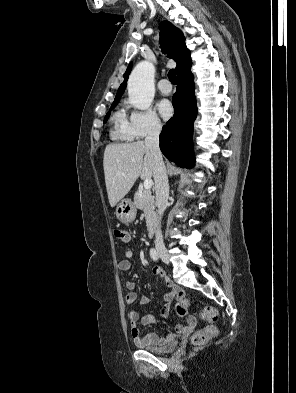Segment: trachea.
Listing matches in <instances>:
<instances>
[{"instance_id":"trachea-1","label":"trachea","mask_w":296,"mask_h":393,"mask_svg":"<svg viewBox=\"0 0 296 393\" xmlns=\"http://www.w3.org/2000/svg\"><path fill=\"white\" fill-rule=\"evenodd\" d=\"M168 78L171 81V83L176 84L177 83V77H176V72L174 69H171L168 73Z\"/></svg>"}]
</instances>
